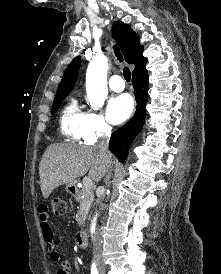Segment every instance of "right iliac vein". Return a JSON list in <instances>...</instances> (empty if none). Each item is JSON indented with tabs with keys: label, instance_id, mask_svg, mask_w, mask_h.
Returning a JSON list of instances; mask_svg holds the SVG:
<instances>
[{
	"label": "right iliac vein",
	"instance_id": "obj_1",
	"mask_svg": "<svg viewBox=\"0 0 221 274\" xmlns=\"http://www.w3.org/2000/svg\"><path fill=\"white\" fill-rule=\"evenodd\" d=\"M99 271H100L101 274H104V273H105V269H104L103 267H100V268H99Z\"/></svg>",
	"mask_w": 221,
	"mask_h": 274
}]
</instances>
